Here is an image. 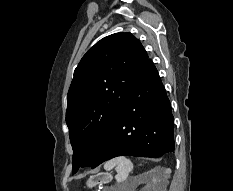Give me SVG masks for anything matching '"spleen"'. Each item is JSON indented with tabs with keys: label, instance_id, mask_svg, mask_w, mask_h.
Instances as JSON below:
<instances>
[{
	"label": "spleen",
	"instance_id": "3e777b00",
	"mask_svg": "<svg viewBox=\"0 0 233 191\" xmlns=\"http://www.w3.org/2000/svg\"><path fill=\"white\" fill-rule=\"evenodd\" d=\"M114 167H116L117 172L115 179L117 183H122L128 178L129 173L133 169V164L131 160L126 157H117L113 160L107 161L104 164V169L107 171L113 169Z\"/></svg>",
	"mask_w": 233,
	"mask_h": 191
}]
</instances>
